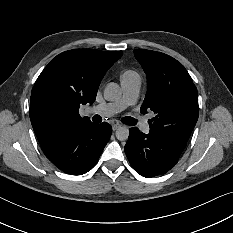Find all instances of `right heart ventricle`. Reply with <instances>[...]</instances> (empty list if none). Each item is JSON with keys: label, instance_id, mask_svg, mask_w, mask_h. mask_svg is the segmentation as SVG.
<instances>
[{"label": "right heart ventricle", "instance_id": "e07e8e85", "mask_svg": "<svg viewBox=\"0 0 233 233\" xmlns=\"http://www.w3.org/2000/svg\"><path fill=\"white\" fill-rule=\"evenodd\" d=\"M121 82L141 81L139 73L134 69H126L121 73Z\"/></svg>", "mask_w": 233, "mask_h": 233}]
</instances>
